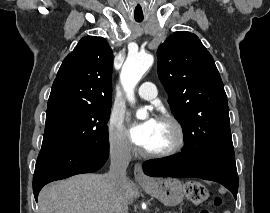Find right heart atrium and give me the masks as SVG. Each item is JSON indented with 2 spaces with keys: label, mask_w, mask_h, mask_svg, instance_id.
<instances>
[{
  "label": "right heart atrium",
  "mask_w": 270,
  "mask_h": 213,
  "mask_svg": "<svg viewBox=\"0 0 270 213\" xmlns=\"http://www.w3.org/2000/svg\"><path fill=\"white\" fill-rule=\"evenodd\" d=\"M107 139L110 151L116 156L127 158L132 152V148L126 138L123 124V115L113 112L107 126Z\"/></svg>",
  "instance_id": "d8ad5b80"
}]
</instances>
